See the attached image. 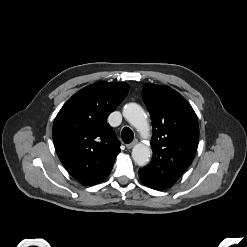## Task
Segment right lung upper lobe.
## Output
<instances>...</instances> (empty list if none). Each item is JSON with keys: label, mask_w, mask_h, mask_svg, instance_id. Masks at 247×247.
<instances>
[{"label": "right lung upper lobe", "mask_w": 247, "mask_h": 247, "mask_svg": "<svg viewBox=\"0 0 247 247\" xmlns=\"http://www.w3.org/2000/svg\"><path fill=\"white\" fill-rule=\"evenodd\" d=\"M128 90L125 82H96L75 93L55 118L52 136L59 159L84 185L106 179L120 152V142L106 119Z\"/></svg>", "instance_id": "1"}]
</instances>
